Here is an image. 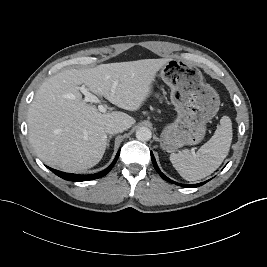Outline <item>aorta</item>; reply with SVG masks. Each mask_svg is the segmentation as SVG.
I'll return each instance as SVG.
<instances>
[{
	"instance_id": "obj_1",
	"label": "aorta",
	"mask_w": 267,
	"mask_h": 267,
	"mask_svg": "<svg viewBox=\"0 0 267 267\" xmlns=\"http://www.w3.org/2000/svg\"><path fill=\"white\" fill-rule=\"evenodd\" d=\"M151 137V130L147 127H140L136 131V138L140 141H149Z\"/></svg>"
}]
</instances>
